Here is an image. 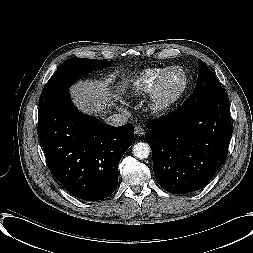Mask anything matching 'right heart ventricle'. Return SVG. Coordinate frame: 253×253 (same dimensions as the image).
Returning <instances> with one entry per match:
<instances>
[{
  "label": "right heart ventricle",
  "mask_w": 253,
  "mask_h": 253,
  "mask_svg": "<svg viewBox=\"0 0 253 253\" xmlns=\"http://www.w3.org/2000/svg\"><path fill=\"white\" fill-rule=\"evenodd\" d=\"M169 67L147 68L128 79L125 85V95L130 98H137L148 93L157 78Z\"/></svg>",
  "instance_id": "right-heart-ventricle-1"
}]
</instances>
